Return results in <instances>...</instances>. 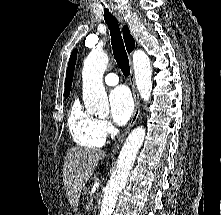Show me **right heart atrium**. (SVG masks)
Returning <instances> with one entry per match:
<instances>
[{"mask_svg":"<svg viewBox=\"0 0 221 215\" xmlns=\"http://www.w3.org/2000/svg\"><path fill=\"white\" fill-rule=\"evenodd\" d=\"M97 132L101 137L106 138L114 134L115 128L109 120L99 119L97 120Z\"/></svg>","mask_w":221,"mask_h":215,"instance_id":"obj_1","label":"right heart atrium"}]
</instances>
